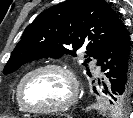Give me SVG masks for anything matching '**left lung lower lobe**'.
<instances>
[{"label":"left lung lower lobe","instance_id":"0a47b994","mask_svg":"<svg viewBox=\"0 0 133 118\" xmlns=\"http://www.w3.org/2000/svg\"><path fill=\"white\" fill-rule=\"evenodd\" d=\"M97 64L101 66L102 71H107L105 75L111 81L110 92L104 83L105 93L118 98L129 91L131 98L133 97V54L124 25L119 27L113 39L104 48Z\"/></svg>","mask_w":133,"mask_h":118}]
</instances>
